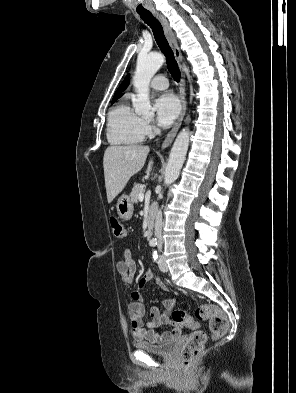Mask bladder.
<instances>
[{"label":"bladder","instance_id":"1","mask_svg":"<svg viewBox=\"0 0 296 393\" xmlns=\"http://www.w3.org/2000/svg\"><path fill=\"white\" fill-rule=\"evenodd\" d=\"M177 341L175 339H170L166 342H163L161 344H153L150 342L146 341H138L136 343V348L138 350L154 354V355H159V356H164L168 357L171 356L176 348Z\"/></svg>","mask_w":296,"mask_h":393}]
</instances>
